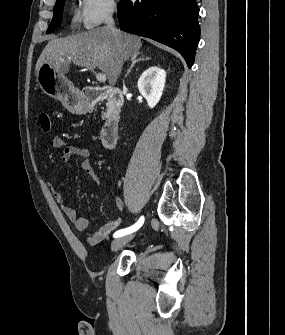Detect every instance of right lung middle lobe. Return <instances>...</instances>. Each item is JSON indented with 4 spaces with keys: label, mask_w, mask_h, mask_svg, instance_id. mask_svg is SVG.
Masks as SVG:
<instances>
[{
    "label": "right lung middle lobe",
    "mask_w": 285,
    "mask_h": 335,
    "mask_svg": "<svg viewBox=\"0 0 285 335\" xmlns=\"http://www.w3.org/2000/svg\"><path fill=\"white\" fill-rule=\"evenodd\" d=\"M64 3L65 0L54 6V16L46 32L47 34L52 33L54 29L61 24Z\"/></svg>",
    "instance_id": "dd1d6c3e"
}]
</instances>
